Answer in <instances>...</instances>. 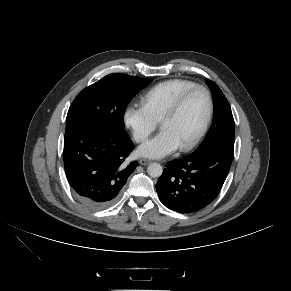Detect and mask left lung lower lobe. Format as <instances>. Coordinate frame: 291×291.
<instances>
[{"mask_svg": "<svg viewBox=\"0 0 291 291\" xmlns=\"http://www.w3.org/2000/svg\"><path fill=\"white\" fill-rule=\"evenodd\" d=\"M234 146L217 144L168 162L156 184L161 202L179 213H194L219 194L228 175Z\"/></svg>", "mask_w": 291, "mask_h": 291, "instance_id": "obj_1", "label": "left lung lower lobe"}]
</instances>
